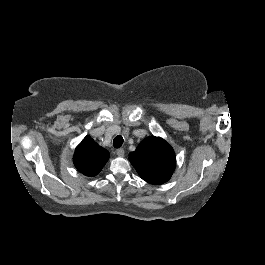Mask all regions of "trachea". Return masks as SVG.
<instances>
[{
	"label": "trachea",
	"mask_w": 265,
	"mask_h": 265,
	"mask_svg": "<svg viewBox=\"0 0 265 265\" xmlns=\"http://www.w3.org/2000/svg\"><path fill=\"white\" fill-rule=\"evenodd\" d=\"M123 141H124L123 137L121 135H118L113 140V146L115 148H120L122 146V144H123Z\"/></svg>",
	"instance_id": "1"
}]
</instances>
